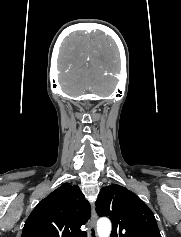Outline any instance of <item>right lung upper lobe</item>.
Segmentation results:
<instances>
[{
    "label": "right lung upper lobe",
    "mask_w": 181,
    "mask_h": 237,
    "mask_svg": "<svg viewBox=\"0 0 181 237\" xmlns=\"http://www.w3.org/2000/svg\"><path fill=\"white\" fill-rule=\"evenodd\" d=\"M89 218L90 204L80 188L66 183L37 204L21 237H86L80 228Z\"/></svg>",
    "instance_id": "obj_1"
}]
</instances>
